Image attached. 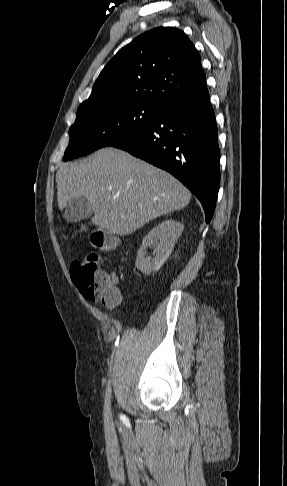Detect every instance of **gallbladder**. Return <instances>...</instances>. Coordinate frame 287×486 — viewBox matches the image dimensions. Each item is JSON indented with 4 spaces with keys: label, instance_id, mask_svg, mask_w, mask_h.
Masks as SVG:
<instances>
[{
    "label": "gallbladder",
    "instance_id": "bac80fb5",
    "mask_svg": "<svg viewBox=\"0 0 287 486\" xmlns=\"http://www.w3.org/2000/svg\"><path fill=\"white\" fill-rule=\"evenodd\" d=\"M93 214L92 205L83 197L71 198L64 211V218L69 223L78 222L90 218Z\"/></svg>",
    "mask_w": 287,
    "mask_h": 486
}]
</instances>
